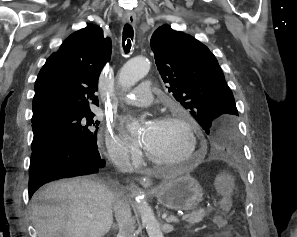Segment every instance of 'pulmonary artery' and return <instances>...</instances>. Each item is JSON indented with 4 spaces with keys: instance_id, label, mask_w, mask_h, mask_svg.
<instances>
[{
    "instance_id": "obj_1",
    "label": "pulmonary artery",
    "mask_w": 297,
    "mask_h": 237,
    "mask_svg": "<svg viewBox=\"0 0 297 237\" xmlns=\"http://www.w3.org/2000/svg\"><path fill=\"white\" fill-rule=\"evenodd\" d=\"M124 78L128 77L127 69L122 72ZM153 99V88L149 81L142 82L135 90L129 93L124 101L130 105L145 106Z\"/></svg>"
}]
</instances>
